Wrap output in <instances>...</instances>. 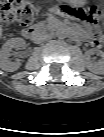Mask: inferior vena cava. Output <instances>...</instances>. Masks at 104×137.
I'll use <instances>...</instances> for the list:
<instances>
[{
	"label": "inferior vena cava",
	"instance_id": "602c4592",
	"mask_svg": "<svg viewBox=\"0 0 104 137\" xmlns=\"http://www.w3.org/2000/svg\"><path fill=\"white\" fill-rule=\"evenodd\" d=\"M47 38V34H45L44 32H38L35 34L33 40L35 43L39 44L42 41H44Z\"/></svg>",
	"mask_w": 104,
	"mask_h": 137
}]
</instances>
